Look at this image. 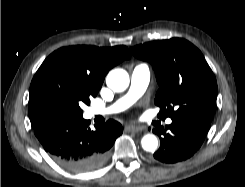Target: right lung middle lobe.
<instances>
[{"instance_id":"dd1d6c3e","label":"right lung middle lobe","mask_w":245,"mask_h":187,"mask_svg":"<svg viewBox=\"0 0 245 187\" xmlns=\"http://www.w3.org/2000/svg\"><path fill=\"white\" fill-rule=\"evenodd\" d=\"M100 89L63 61L47 58L30 85L28 114L33 128L50 120L82 117V103L90 104Z\"/></svg>"}]
</instances>
